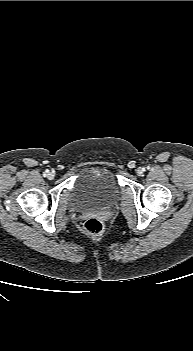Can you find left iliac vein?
Returning <instances> with one entry per match:
<instances>
[{
    "instance_id": "4c4485c4",
    "label": "left iliac vein",
    "mask_w": 193,
    "mask_h": 351,
    "mask_svg": "<svg viewBox=\"0 0 193 351\" xmlns=\"http://www.w3.org/2000/svg\"><path fill=\"white\" fill-rule=\"evenodd\" d=\"M137 174H138L139 176H141V175L143 174V170H142V169H138V170H137Z\"/></svg>"
}]
</instances>
